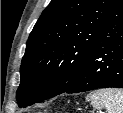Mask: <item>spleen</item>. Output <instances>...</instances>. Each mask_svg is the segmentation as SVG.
I'll return each mask as SVG.
<instances>
[{
	"instance_id": "spleen-1",
	"label": "spleen",
	"mask_w": 123,
	"mask_h": 113,
	"mask_svg": "<svg viewBox=\"0 0 123 113\" xmlns=\"http://www.w3.org/2000/svg\"><path fill=\"white\" fill-rule=\"evenodd\" d=\"M86 100L94 109L105 108L107 113H123V89H99L89 93Z\"/></svg>"
}]
</instances>
